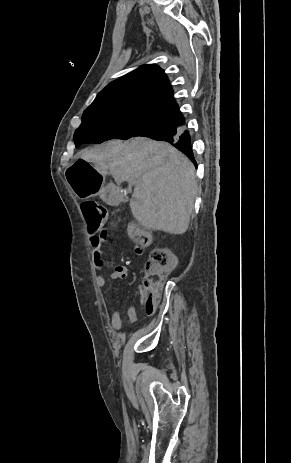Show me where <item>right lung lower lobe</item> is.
<instances>
[{"instance_id":"right-lung-lower-lobe-1","label":"right lung lower lobe","mask_w":291,"mask_h":463,"mask_svg":"<svg viewBox=\"0 0 291 463\" xmlns=\"http://www.w3.org/2000/svg\"><path fill=\"white\" fill-rule=\"evenodd\" d=\"M169 125L160 131L153 132L145 137L166 141L183 152L195 166L197 163L194 158L191 136L189 131L185 128L184 124L177 123L175 120H166Z\"/></svg>"}]
</instances>
